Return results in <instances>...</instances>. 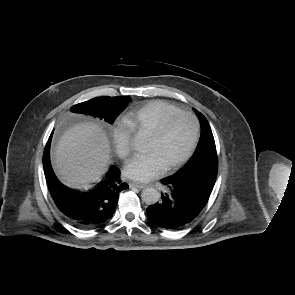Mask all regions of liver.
I'll return each mask as SVG.
<instances>
[{"label": "liver", "mask_w": 295, "mask_h": 295, "mask_svg": "<svg viewBox=\"0 0 295 295\" xmlns=\"http://www.w3.org/2000/svg\"><path fill=\"white\" fill-rule=\"evenodd\" d=\"M110 143L105 131L94 123H78L61 136L54 153L59 179L72 188H87L106 172Z\"/></svg>", "instance_id": "6515ba94"}]
</instances>
